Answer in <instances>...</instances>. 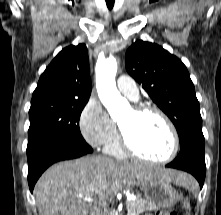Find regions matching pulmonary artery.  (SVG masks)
I'll return each mask as SVG.
<instances>
[{
	"label": "pulmonary artery",
	"mask_w": 221,
	"mask_h": 215,
	"mask_svg": "<svg viewBox=\"0 0 221 215\" xmlns=\"http://www.w3.org/2000/svg\"><path fill=\"white\" fill-rule=\"evenodd\" d=\"M118 90L127 98L133 101L139 99V91L135 82L126 75H122L117 80Z\"/></svg>",
	"instance_id": "1"
}]
</instances>
